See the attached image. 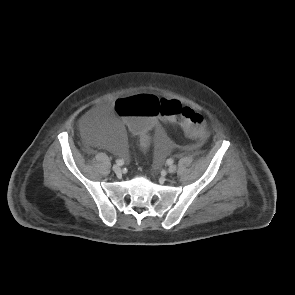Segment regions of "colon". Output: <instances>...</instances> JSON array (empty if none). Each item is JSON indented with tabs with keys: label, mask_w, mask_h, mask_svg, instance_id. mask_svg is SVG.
I'll return each mask as SVG.
<instances>
[{
	"label": "colon",
	"mask_w": 295,
	"mask_h": 295,
	"mask_svg": "<svg viewBox=\"0 0 295 295\" xmlns=\"http://www.w3.org/2000/svg\"><path fill=\"white\" fill-rule=\"evenodd\" d=\"M118 121L137 136H146L157 122L158 115L163 121L178 122L185 134L196 141L207 136V128L201 115L175 98L166 100L140 92L135 96L120 99L115 107Z\"/></svg>",
	"instance_id": "obj_1"
}]
</instances>
